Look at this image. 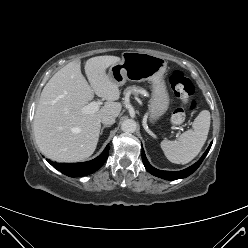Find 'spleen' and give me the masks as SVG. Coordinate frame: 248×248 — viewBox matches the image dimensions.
I'll return each mask as SVG.
<instances>
[{
  "label": "spleen",
  "instance_id": "3e777b00",
  "mask_svg": "<svg viewBox=\"0 0 248 248\" xmlns=\"http://www.w3.org/2000/svg\"><path fill=\"white\" fill-rule=\"evenodd\" d=\"M210 128V112L203 110L195 118L192 129L184 132L178 140H163L160 146L167 159L175 164L193 160L204 146Z\"/></svg>",
  "mask_w": 248,
  "mask_h": 248
}]
</instances>
